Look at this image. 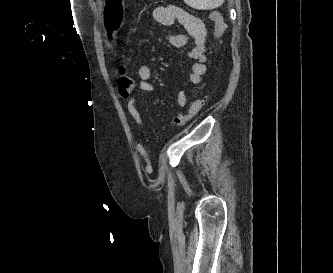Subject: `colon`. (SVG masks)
Wrapping results in <instances>:
<instances>
[{"label":"colon","mask_w":333,"mask_h":273,"mask_svg":"<svg viewBox=\"0 0 333 273\" xmlns=\"http://www.w3.org/2000/svg\"><path fill=\"white\" fill-rule=\"evenodd\" d=\"M210 20L214 24V35L218 39L222 36V34L225 31V23L223 21V18L221 14L218 12H211L210 13ZM117 86L120 95L123 98L130 97L133 87H134V80L132 76L127 72L126 68L124 66H121L119 69V73L117 76ZM205 103V98L200 97L192 101V103L189 105L187 112L185 114L177 115L172 121L171 125L173 127H180L184 123H186L189 119L194 117L203 107Z\"/></svg>","instance_id":"colon-1"}]
</instances>
